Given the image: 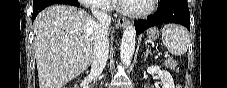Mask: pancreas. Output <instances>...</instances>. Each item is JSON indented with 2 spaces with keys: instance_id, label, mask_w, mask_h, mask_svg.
I'll return each instance as SVG.
<instances>
[{
  "instance_id": "obj_1",
  "label": "pancreas",
  "mask_w": 227,
  "mask_h": 88,
  "mask_svg": "<svg viewBox=\"0 0 227 88\" xmlns=\"http://www.w3.org/2000/svg\"><path fill=\"white\" fill-rule=\"evenodd\" d=\"M164 65H165L167 68H169V69H171V70H173V71L178 72L177 62H176L174 59H166V60L164 61Z\"/></svg>"
}]
</instances>
